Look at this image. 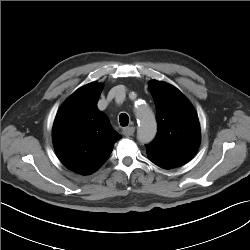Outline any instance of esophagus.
I'll return each mask as SVG.
<instances>
[{
    "label": "esophagus",
    "instance_id": "obj_1",
    "mask_svg": "<svg viewBox=\"0 0 250 250\" xmlns=\"http://www.w3.org/2000/svg\"><path fill=\"white\" fill-rule=\"evenodd\" d=\"M134 132H135V127H133V126L125 127V128H123V130H122V133H123L125 136H127V137L132 136V135L134 134Z\"/></svg>",
    "mask_w": 250,
    "mask_h": 250
}]
</instances>
